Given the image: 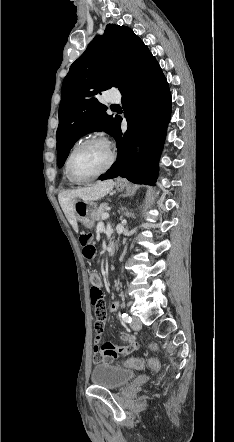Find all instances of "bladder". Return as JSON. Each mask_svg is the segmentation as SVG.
<instances>
[{
  "mask_svg": "<svg viewBox=\"0 0 234 442\" xmlns=\"http://www.w3.org/2000/svg\"><path fill=\"white\" fill-rule=\"evenodd\" d=\"M135 377V372L127 367L115 365H97L91 373V381L96 386L110 389L120 388Z\"/></svg>",
  "mask_w": 234,
  "mask_h": 442,
  "instance_id": "bladder-1",
  "label": "bladder"
}]
</instances>
